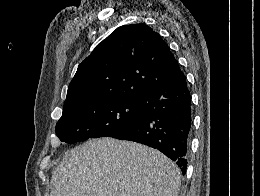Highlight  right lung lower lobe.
<instances>
[{
  "label": "right lung lower lobe",
  "mask_w": 260,
  "mask_h": 196,
  "mask_svg": "<svg viewBox=\"0 0 260 196\" xmlns=\"http://www.w3.org/2000/svg\"><path fill=\"white\" fill-rule=\"evenodd\" d=\"M192 102L183 74L138 100L145 118L112 138L158 149L186 173L192 127Z\"/></svg>",
  "instance_id": "1"
}]
</instances>
